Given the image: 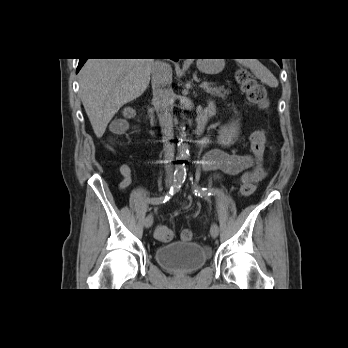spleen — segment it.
<instances>
[{
  "label": "spleen",
  "instance_id": "obj_1",
  "mask_svg": "<svg viewBox=\"0 0 348 348\" xmlns=\"http://www.w3.org/2000/svg\"><path fill=\"white\" fill-rule=\"evenodd\" d=\"M239 63L249 68L262 83L270 87L278 86V81L274 75L257 59H240Z\"/></svg>",
  "mask_w": 348,
  "mask_h": 348
}]
</instances>
